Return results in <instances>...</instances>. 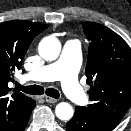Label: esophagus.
<instances>
[{
    "instance_id": "34e87169",
    "label": "esophagus",
    "mask_w": 131,
    "mask_h": 131,
    "mask_svg": "<svg viewBox=\"0 0 131 131\" xmlns=\"http://www.w3.org/2000/svg\"><path fill=\"white\" fill-rule=\"evenodd\" d=\"M44 98H45V101L48 103H56L57 102V99L52 98L50 96H45Z\"/></svg>"
}]
</instances>
